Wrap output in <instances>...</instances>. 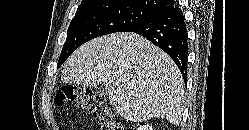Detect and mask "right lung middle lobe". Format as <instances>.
<instances>
[{"label": "right lung middle lobe", "instance_id": "right-lung-middle-lobe-1", "mask_svg": "<svg viewBox=\"0 0 249 130\" xmlns=\"http://www.w3.org/2000/svg\"><path fill=\"white\" fill-rule=\"evenodd\" d=\"M157 16L153 11L114 1L79 6L69 25L57 68L83 43L105 34L126 31Z\"/></svg>", "mask_w": 249, "mask_h": 130}]
</instances>
